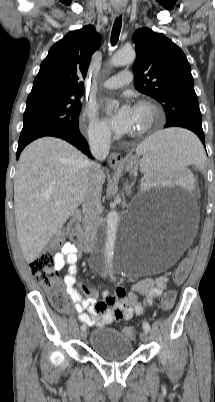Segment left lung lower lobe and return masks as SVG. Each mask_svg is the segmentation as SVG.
<instances>
[{
	"instance_id": "0a47b994",
	"label": "left lung lower lobe",
	"mask_w": 215,
	"mask_h": 402,
	"mask_svg": "<svg viewBox=\"0 0 215 402\" xmlns=\"http://www.w3.org/2000/svg\"><path fill=\"white\" fill-rule=\"evenodd\" d=\"M165 128L168 127H183V128H187L191 131H193L195 134L198 135V137L200 138V140L202 141L203 144H205L204 141V132L203 129L201 127H197V126H193L184 122H170V123H166Z\"/></svg>"
}]
</instances>
